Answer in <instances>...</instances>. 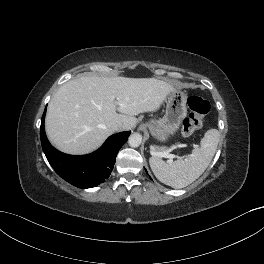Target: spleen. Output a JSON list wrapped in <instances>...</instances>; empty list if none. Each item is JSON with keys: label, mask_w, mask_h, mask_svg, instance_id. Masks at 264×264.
I'll return each mask as SVG.
<instances>
[{"label": "spleen", "mask_w": 264, "mask_h": 264, "mask_svg": "<svg viewBox=\"0 0 264 264\" xmlns=\"http://www.w3.org/2000/svg\"><path fill=\"white\" fill-rule=\"evenodd\" d=\"M217 129L206 131L200 141V147L191 154L180 157L175 162H165L158 157L149 159L155 177L162 183L176 189L184 188L198 179L209 166L219 142Z\"/></svg>", "instance_id": "1"}]
</instances>
